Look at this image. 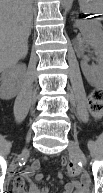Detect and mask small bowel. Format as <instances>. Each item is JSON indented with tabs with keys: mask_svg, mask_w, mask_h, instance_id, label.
Masks as SVG:
<instances>
[{
	"mask_svg": "<svg viewBox=\"0 0 103 193\" xmlns=\"http://www.w3.org/2000/svg\"><path fill=\"white\" fill-rule=\"evenodd\" d=\"M40 162L38 160L33 161L25 170H23L20 176H17L13 180V193H50L48 187L40 188L32 182V177L39 171ZM62 177V174H60ZM40 179V177H38ZM25 181L29 183V190L25 191ZM89 189V182L86 177H83L81 181L71 180L63 184L62 193H87Z\"/></svg>",
	"mask_w": 103,
	"mask_h": 193,
	"instance_id": "1",
	"label": "small bowel"
}]
</instances>
